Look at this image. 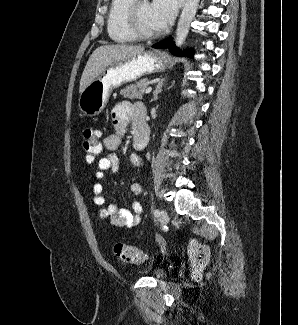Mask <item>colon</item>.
Returning a JSON list of instances; mask_svg holds the SVG:
<instances>
[{
	"label": "colon",
	"instance_id": "5ec220e1",
	"mask_svg": "<svg viewBox=\"0 0 298 325\" xmlns=\"http://www.w3.org/2000/svg\"><path fill=\"white\" fill-rule=\"evenodd\" d=\"M101 132L95 128H86L83 132V154L87 163H92L102 151V143L100 140ZM189 257L193 266L197 271L201 270L208 262L209 250L199 243L192 241L188 248ZM115 255L123 262L129 264H141L145 261V256L139 249L123 244L117 243L114 246Z\"/></svg>",
	"mask_w": 298,
	"mask_h": 325
}]
</instances>
